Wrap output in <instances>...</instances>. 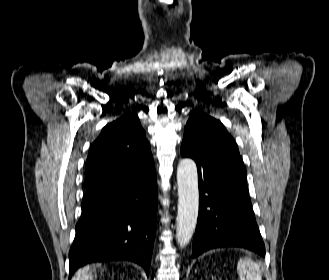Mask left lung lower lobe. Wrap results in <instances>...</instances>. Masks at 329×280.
I'll list each match as a JSON object with an SVG mask.
<instances>
[{"instance_id": "1", "label": "left lung lower lobe", "mask_w": 329, "mask_h": 280, "mask_svg": "<svg viewBox=\"0 0 329 280\" xmlns=\"http://www.w3.org/2000/svg\"><path fill=\"white\" fill-rule=\"evenodd\" d=\"M199 193V223L192 244L194 258L211 249L228 247L265 256L247 184L229 185L220 191L199 186Z\"/></svg>"}]
</instances>
